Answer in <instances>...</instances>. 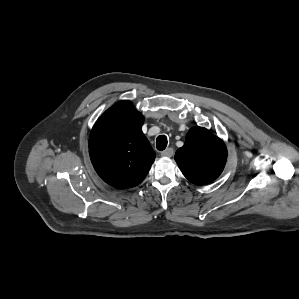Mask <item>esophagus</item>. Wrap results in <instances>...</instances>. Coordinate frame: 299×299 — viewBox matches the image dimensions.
I'll use <instances>...</instances> for the list:
<instances>
[{
  "label": "esophagus",
  "mask_w": 299,
  "mask_h": 299,
  "mask_svg": "<svg viewBox=\"0 0 299 299\" xmlns=\"http://www.w3.org/2000/svg\"><path fill=\"white\" fill-rule=\"evenodd\" d=\"M174 154V150L173 148H167L164 151L161 152V156L162 157H172Z\"/></svg>",
  "instance_id": "34e87169"
}]
</instances>
